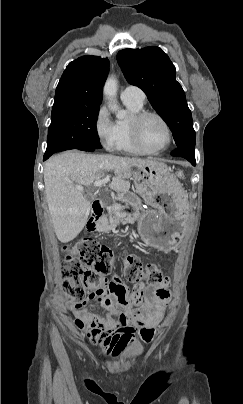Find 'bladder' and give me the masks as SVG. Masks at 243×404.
I'll return each instance as SVG.
<instances>
[{
  "mask_svg": "<svg viewBox=\"0 0 243 404\" xmlns=\"http://www.w3.org/2000/svg\"><path fill=\"white\" fill-rule=\"evenodd\" d=\"M143 352H144L143 345L140 343H134L127 348L123 358L127 360H133L140 357L143 354Z\"/></svg>",
  "mask_w": 243,
  "mask_h": 404,
  "instance_id": "1",
  "label": "bladder"
}]
</instances>
